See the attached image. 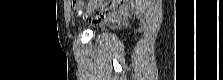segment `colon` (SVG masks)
Returning a JSON list of instances; mask_svg holds the SVG:
<instances>
[{
	"label": "colon",
	"instance_id": "obj_1",
	"mask_svg": "<svg viewBox=\"0 0 223 80\" xmlns=\"http://www.w3.org/2000/svg\"><path fill=\"white\" fill-rule=\"evenodd\" d=\"M124 4V0H111L109 1V7L110 8H118L121 7ZM72 6L74 9H76L79 14L83 13V8H84V1L82 0H72ZM108 13V10L105 9L103 11L97 12L93 15L86 16V18L93 23H99L103 19L106 18Z\"/></svg>",
	"mask_w": 223,
	"mask_h": 80
}]
</instances>
